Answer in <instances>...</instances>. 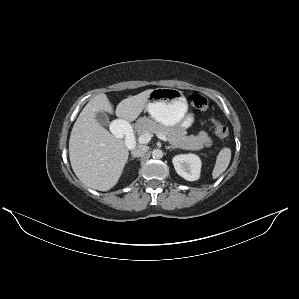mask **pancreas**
Masks as SVG:
<instances>
[{
    "instance_id": "obj_1",
    "label": "pancreas",
    "mask_w": 299,
    "mask_h": 299,
    "mask_svg": "<svg viewBox=\"0 0 299 299\" xmlns=\"http://www.w3.org/2000/svg\"><path fill=\"white\" fill-rule=\"evenodd\" d=\"M136 131L139 135L149 133L151 135L161 133L168 139L175 148L187 150H200L204 146L212 144L207 133L202 132L197 136H186L185 132L176 126H164L149 118H141L136 123Z\"/></svg>"
}]
</instances>
